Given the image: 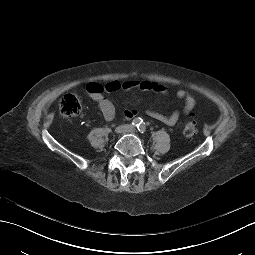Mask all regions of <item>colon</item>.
Returning a JSON list of instances; mask_svg holds the SVG:
<instances>
[{"label":"colon","instance_id":"5ec220e1","mask_svg":"<svg viewBox=\"0 0 255 255\" xmlns=\"http://www.w3.org/2000/svg\"><path fill=\"white\" fill-rule=\"evenodd\" d=\"M59 107L61 113L66 117H75L82 110V99L73 94H68L60 99ZM198 132V124L194 119L185 122L182 133L185 137L191 138Z\"/></svg>","mask_w":255,"mask_h":255}]
</instances>
